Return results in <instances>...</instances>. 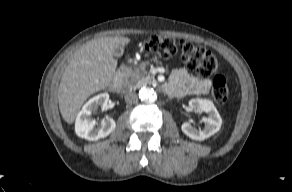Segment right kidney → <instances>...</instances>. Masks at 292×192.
<instances>
[{
	"label": "right kidney",
	"mask_w": 292,
	"mask_h": 192,
	"mask_svg": "<svg viewBox=\"0 0 292 192\" xmlns=\"http://www.w3.org/2000/svg\"><path fill=\"white\" fill-rule=\"evenodd\" d=\"M109 101V94L102 93L91 98L78 113L75 122L76 134L84 139L90 141H96L100 138L108 136L116 127V123L113 118H107L102 120L101 127L96 128V121L90 119V115L94 113L98 107L106 108Z\"/></svg>",
	"instance_id": "right-kidney-1"
}]
</instances>
